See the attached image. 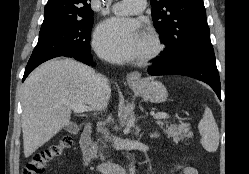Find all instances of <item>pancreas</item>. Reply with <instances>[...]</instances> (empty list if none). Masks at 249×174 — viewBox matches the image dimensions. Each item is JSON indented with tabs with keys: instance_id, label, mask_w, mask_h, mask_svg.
<instances>
[{
	"instance_id": "obj_1",
	"label": "pancreas",
	"mask_w": 249,
	"mask_h": 174,
	"mask_svg": "<svg viewBox=\"0 0 249 174\" xmlns=\"http://www.w3.org/2000/svg\"><path fill=\"white\" fill-rule=\"evenodd\" d=\"M157 123L161 128H163V126H165V128H164L165 134H167V136L169 138H172L174 142H178L181 139L193 137V133L190 131V127L188 124L181 123V124L168 125L167 121H160V120ZM92 149H93V152L95 154H97L98 145L96 143L93 144ZM101 156H102V154H101Z\"/></svg>"
}]
</instances>
